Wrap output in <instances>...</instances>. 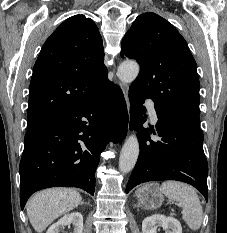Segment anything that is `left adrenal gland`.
I'll return each mask as SVG.
<instances>
[{
  "mask_svg": "<svg viewBox=\"0 0 227 233\" xmlns=\"http://www.w3.org/2000/svg\"><path fill=\"white\" fill-rule=\"evenodd\" d=\"M139 206H140L139 204H138V205H136V207H138V208H139Z\"/></svg>",
  "mask_w": 227,
  "mask_h": 233,
  "instance_id": "1",
  "label": "left adrenal gland"
}]
</instances>
